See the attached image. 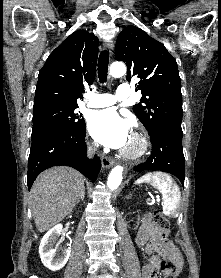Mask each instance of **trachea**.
I'll list each match as a JSON object with an SVG mask.
<instances>
[{"label":"trachea","mask_w":221,"mask_h":278,"mask_svg":"<svg viewBox=\"0 0 221 278\" xmlns=\"http://www.w3.org/2000/svg\"><path fill=\"white\" fill-rule=\"evenodd\" d=\"M109 52L103 50L98 59V77L101 83H105L108 75Z\"/></svg>","instance_id":"trachea-1"}]
</instances>
